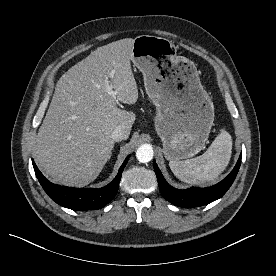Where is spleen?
<instances>
[{"label":"spleen","mask_w":276,"mask_h":276,"mask_svg":"<svg viewBox=\"0 0 276 276\" xmlns=\"http://www.w3.org/2000/svg\"><path fill=\"white\" fill-rule=\"evenodd\" d=\"M232 153V138L225 131L217 135L207 151L192 159L172 160L169 166L174 175L189 184H201L216 179L227 167Z\"/></svg>","instance_id":"1"}]
</instances>
